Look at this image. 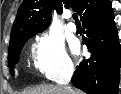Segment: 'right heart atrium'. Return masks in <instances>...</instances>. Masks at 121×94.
I'll use <instances>...</instances> for the list:
<instances>
[{
	"instance_id": "obj_1",
	"label": "right heart atrium",
	"mask_w": 121,
	"mask_h": 94,
	"mask_svg": "<svg viewBox=\"0 0 121 94\" xmlns=\"http://www.w3.org/2000/svg\"><path fill=\"white\" fill-rule=\"evenodd\" d=\"M34 66L47 78H68L74 65L67 54L62 38L52 32L42 34L33 49Z\"/></svg>"
}]
</instances>
